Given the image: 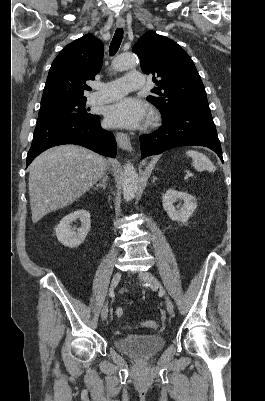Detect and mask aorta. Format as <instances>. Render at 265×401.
Masks as SVG:
<instances>
[{
  "mask_svg": "<svg viewBox=\"0 0 265 401\" xmlns=\"http://www.w3.org/2000/svg\"><path fill=\"white\" fill-rule=\"evenodd\" d=\"M119 60H121V62H113L112 64L116 70H120V68H132V66H136V64H138L137 56H135V54H131V52H124V54H120ZM122 188L125 201H131V198L136 196L138 188V174L131 162H129V164H125L123 168Z\"/></svg>",
  "mask_w": 265,
  "mask_h": 401,
  "instance_id": "obj_1",
  "label": "aorta"
}]
</instances>
